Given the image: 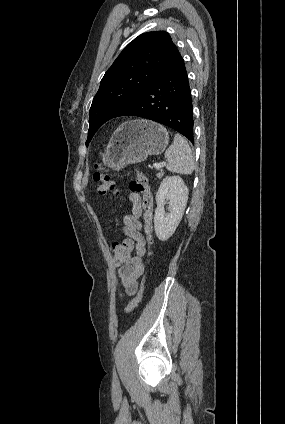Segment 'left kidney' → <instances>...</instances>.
Listing matches in <instances>:
<instances>
[{"mask_svg":"<svg viewBox=\"0 0 285 424\" xmlns=\"http://www.w3.org/2000/svg\"><path fill=\"white\" fill-rule=\"evenodd\" d=\"M189 190L180 176L163 179L156 193L157 208L154 216L155 234L161 241L168 240L178 227L188 200ZM169 200V213L165 212Z\"/></svg>","mask_w":285,"mask_h":424,"instance_id":"1","label":"left kidney"}]
</instances>
